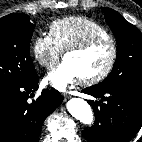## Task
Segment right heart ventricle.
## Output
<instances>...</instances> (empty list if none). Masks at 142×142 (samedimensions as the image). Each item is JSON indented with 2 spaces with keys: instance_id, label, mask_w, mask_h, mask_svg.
<instances>
[{
  "instance_id": "e07e8e85",
  "label": "right heart ventricle",
  "mask_w": 142,
  "mask_h": 142,
  "mask_svg": "<svg viewBox=\"0 0 142 142\" xmlns=\"http://www.w3.org/2000/svg\"><path fill=\"white\" fill-rule=\"evenodd\" d=\"M93 35L110 36L105 27L84 16L57 19L49 25V36L61 52Z\"/></svg>"
}]
</instances>
